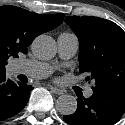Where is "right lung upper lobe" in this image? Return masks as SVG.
I'll return each instance as SVG.
<instances>
[{"mask_svg":"<svg viewBox=\"0 0 125 125\" xmlns=\"http://www.w3.org/2000/svg\"><path fill=\"white\" fill-rule=\"evenodd\" d=\"M64 14L43 15L15 6H0V75L5 74L9 57L27 53V47L40 34L55 29Z\"/></svg>","mask_w":125,"mask_h":125,"instance_id":"right-lung-upper-lobe-1","label":"right lung upper lobe"}]
</instances>
